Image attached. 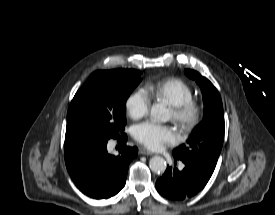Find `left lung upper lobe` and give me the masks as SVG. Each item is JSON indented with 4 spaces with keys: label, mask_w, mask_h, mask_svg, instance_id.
I'll return each instance as SVG.
<instances>
[{
    "label": "left lung upper lobe",
    "mask_w": 275,
    "mask_h": 215,
    "mask_svg": "<svg viewBox=\"0 0 275 215\" xmlns=\"http://www.w3.org/2000/svg\"><path fill=\"white\" fill-rule=\"evenodd\" d=\"M185 74L200 86L204 118L193 129L187 144L173 150L174 158L215 169L224 141V113L221 97L213 84L198 72L185 69Z\"/></svg>",
    "instance_id": "5c2ea615"
}]
</instances>
